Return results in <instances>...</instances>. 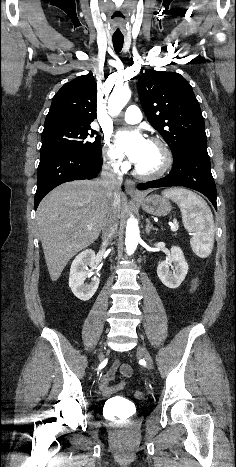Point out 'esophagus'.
<instances>
[{
	"instance_id": "1",
	"label": "esophagus",
	"mask_w": 236,
	"mask_h": 467,
	"mask_svg": "<svg viewBox=\"0 0 236 467\" xmlns=\"http://www.w3.org/2000/svg\"><path fill=\"white\" fill-rule=\"evenodd\" d=\"M126 192L129 195H139V192L136 189L135 182L133 180L127 179L125 181Z\"/></svg>"
}]
</instances>
